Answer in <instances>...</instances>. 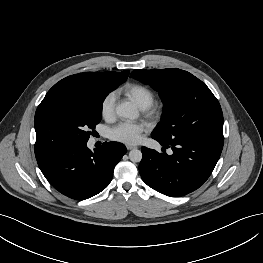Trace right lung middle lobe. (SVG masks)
<instances>
[{"label": "right lung middle lobe", "mask_w": 263, "mask_h": 263, "mask_svg": "<svg viewBox=\"0 0 263 263\" xmlns=\"http://www.w3.org/2000/svg\"><path fill=\"white\" fill-rule=\"evenodd\" d=\"M124 81L102 80L75 94L44 98L34 119L36 159L87 142L101 121L105 97Z\"/></svg>", "instance_id": "1"}]
</instances>
